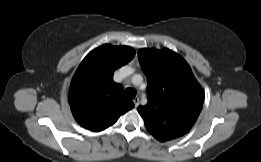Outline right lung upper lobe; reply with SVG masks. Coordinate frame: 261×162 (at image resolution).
<instances>
[{
	"mask_svg": "<svg viewBox=\"0 0 261 162\" xmlns=\"http://www.w3.org/2000/svg\"><path fill=\"white\" fill-rule=\"evenodd\" d=\"M134 56L131 47L105 44L81 62L71 81L68 101L82 127L95 132L104 130L134 107L123 98L122 86L113 81L114 71Z\"/></svg>",
	"mask_w": 261,
	"mask_h": 162,
	"instance_id": "obj_1",
	"label": "right lung upper lobe"
}]
</instances>
